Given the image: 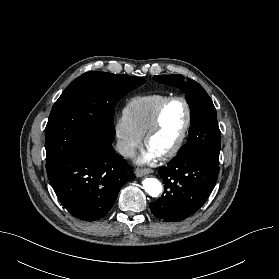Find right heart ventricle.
Here are the masks:
<instances>
[{
	"mask_svg": "<svg viewBox=\"0 0 279 279\" xmlns=\"http://www.w3.org/2000/svg\"><path fill=\"white\" fill-rule=\"evenodd\" d=\"M170 96L161 93L133 97L124 108L128 122L141 136L149 128L158 107Z\"/></svg>",
	"mask_w": 279,
	"mask_h": 279,
	"instance_id": "1",
	"label": "right heart ventricle"
}]
</instances>
